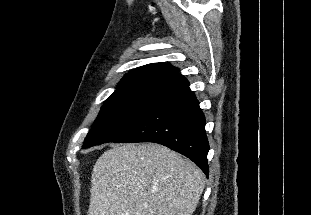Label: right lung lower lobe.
I'll return each instance as SVG.
<instances>
[{"mask_svg": "<svg viewBox=\"0 0 311 215\" xmlns=\"http://www.w3.org/2000/svg\"><path fill=\"white\" fill-rule=\"evenodd\" d=\"M205 116L182 77L171 84L160 101L126 133L111 142H154L191 159L208 176L209 143Z\"/></svg>", "mask_w": 311, "mask_h": 215, "instance_id": "obj_1", "label": "right lung lower lobe"}]
</instances>
